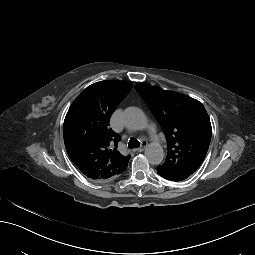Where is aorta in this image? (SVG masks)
<instances>
[{
    "label": "aorta",
    "mask_w": 255,
    "mask_h": 255,
    "mask_svg": "<svg viewBox=\"0 0 255 255\" xmlns=\"http://www.w3.org/2000/svg\"><path fill=\"white\" fill-rule=\"evenodd\" d=\"M124 123L133 130H142L147 126V118L137 107H129L123 113ZM145 157L152 165H159L164 158V151L159 144H150L145 149Z\"/></svg>",
    "instance_id": "aorta-1"
}]
</instances>
